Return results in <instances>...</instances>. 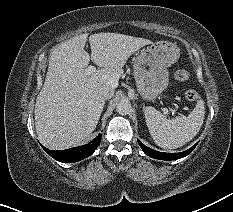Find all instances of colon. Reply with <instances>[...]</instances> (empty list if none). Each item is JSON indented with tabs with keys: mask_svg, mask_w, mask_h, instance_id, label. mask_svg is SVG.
I'll use <instances>...</instances> for the list:
<instances>
[{
	"mask_svg": "<svg viewBox=\"0 0 233 212\" xmlns=\"http://www.w3.org/2000/svg\"><path fill=\"white\" fill-rule=\"evenodd\" d=\"M190 75L186 70H177L174 73V78L177 81H187L189 79ZM185 97L189 101H197L199 99V94L197 91L193 89H188L185 91Z\"/></svg>",
	"mask_w": 233,
	"mask_h": 212,
	"instance_id": "1",
	"label": "colon"
}]
</instances>
